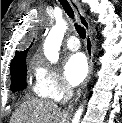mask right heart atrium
I'll list each match as a JSON object with an SVG mask.
<instances>
[{
  "instance_id": "d8ad5b80",
  "label": "right heart atrium",
  "mask_w": 122,
  "mask_h": 123,
  "mask_svg": "<svg viewBox=\"0 0 122 123\" xmlns=\"http://www.w3.org/2000/svg\"><path fill=\"white\" fill-rule=\"evenodd\" d=\"M34 91L41 97L50 99H61L69 88L60 74L48 63L37 59L33 63Z\"/></svg>"
}]
</instances>
